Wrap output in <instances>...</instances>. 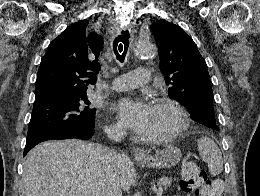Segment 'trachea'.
I'll use <instances>...</instances> for the list:
<instances>
[{
    "label": "trachea",
    "mask_w": 260,
    "mask_h": 196,
    "mask_svg": "<svg viewBox=\"0 0 260 196\" xmlns=\"http://www.w3.org/2000/svg\"><path fill=\"white\" fill-rule=\"evenodd\" d=\"M130 34L128 30H123L120 35H118L113 41V50L117 60L121 63L124 62L125 56L129 47Z\"/></svg>",
    "instance_id": "trachea-1"
}]
</instances>
